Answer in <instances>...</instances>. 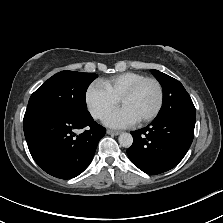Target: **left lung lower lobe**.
<instances>
[{
    "label": "left lung lower lobe",
    "instance_id": "obj_1",
    "mask_svg": "<svg viewBox=\"0 0 223 223\" xmlns=\"http://www.w3.org/2000/svg\"><path fill=\"white\" fill-rule=\"evenodd\" d=\"M195 120L183 117L153 120L147 127L131 131L133 144L127 149L130 160L151 175L174 168L193 141Z\"/></svg>",
    "mask_w": 223,
    "mask_h": 223
}]
</instances>
